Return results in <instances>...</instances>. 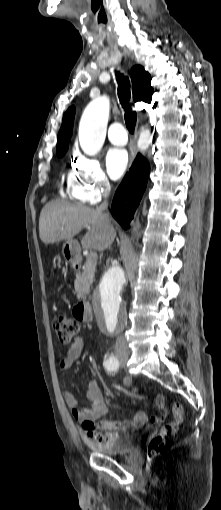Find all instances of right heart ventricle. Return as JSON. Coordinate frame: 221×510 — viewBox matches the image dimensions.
<instances>
[{
    "label": "right heart ventricle",
    "mask_w": 221,
    "mask_h": 510,
    "mask_svg": "<svg viewBox=\"0 0 221 510\" xmlns=\"http://www.w3.org/2000/svg\"><path fill=\"white\" fill-rule=\"evenodd\" d=\"M61 195H62L63 197H65V196L67 195V192H65L64 190H61Z\"/></svg>",
    "instance_id": "1"
}]
</instances>
